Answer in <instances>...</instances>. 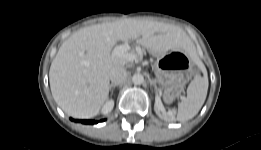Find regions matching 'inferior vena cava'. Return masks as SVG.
I'll list each match as a JSON object with an SVG mask.
<instances>
[{
    "label": "inferior vena cava",
    "instance_id": "1",
    "mask_svg": "<svg viewBox=\"0 0 261 150\" xmlns=\"http://www.w3.org/2000/svg\"><path fill=\"white\" fill-rule=\"evenodd\" d=\"M128 72L125 66H115L110 70V80L113 84L123 83L127 78Z\"/></svg>",
    "mask_w": 261,
    "mask_h": 150
}]
</instances>
